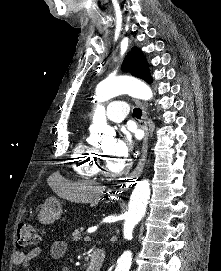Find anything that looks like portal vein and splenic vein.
<instances>
[{"instance_id": "obj_1", "label": "portal vein and splenic vein", "mask_w": 221, "mask_h": 271, "mask_svg": "<svg viewBox=\"0 0 221 271\" xmlns=\"http://www.w3.org/2000/svg\"><path fill=\"white\" fill-rule=\"evenodd\" d=\"M84 241H85V242H90V241H91V238H90V237H85V238H84Z\"/></svg>"}]
</instances>
